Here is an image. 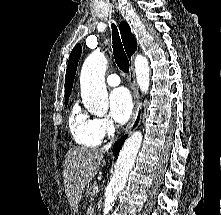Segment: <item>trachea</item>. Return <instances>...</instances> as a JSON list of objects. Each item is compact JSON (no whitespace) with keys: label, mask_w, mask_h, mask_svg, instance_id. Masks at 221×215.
Returning <instances> with one entry per match:
<instances>
[{"label":"trachea","mask_w":221,"mask_h":215,"mask_svg":"<svg viewBox=\"0 0 221 215\" xmlns=\"http://www.w3.org/2000/svg\"><path fill=\"white\" fill-rule=\"evenodd\" d=\"M112 32H113V51H114V58L117 66L120 70L125 73L129 71V60L126 56V53L123 49V45L121 43L118 30L115 24H111Z\"/></svg>","instance_id":"obj_1"}]
</instances>
